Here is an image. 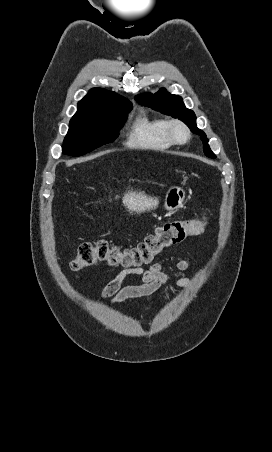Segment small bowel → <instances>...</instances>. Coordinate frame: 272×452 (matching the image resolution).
Wrapping results in <instances>:
<instances>
[{"mask_svg":"<svg viewBox=\"0 0 272 452\" xmlns=\"http://www.w3.org/2000/svg\"><path fill=\"white\" fill-rule=\"evenodd\" d=\"M195 260L193 258L175 261L171 266L179 271L188 270ZM165 266L154 263L148 269L135 268L124 269L119 272L103 289L101 297L107 299L110 304L124 302L135 298H148L164 285H173L188 288L191 284L188 278H175L164 271ZM130 275H138L142 278L139 284L123 286V282Z\"/></svg>","mask_w":272,"mask_h":452,"instance_id":"1","label":"small bowel"}]
</instances>
